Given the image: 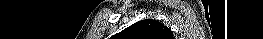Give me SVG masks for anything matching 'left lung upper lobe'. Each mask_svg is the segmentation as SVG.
I'll list each match as a JSON object with an SVG mask.
<instances>
[{
	"instance_id": "obj_1",
	"label": "left lung upper lobe",
	"mask_w": 263,
	"mask_h": 39,
	"mask_svg": "<svg viewBox=\"0 0 263 39\" xmlns=\"http://www.w3.org/2000/svg\"><path fill=\"white\" fill-rule=\"evenodd\" d=\"M116 35L115 39H174L168 27L153 19L138 21Z\"/></svg>"
}]
</instances>
